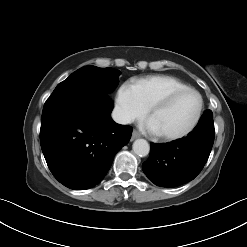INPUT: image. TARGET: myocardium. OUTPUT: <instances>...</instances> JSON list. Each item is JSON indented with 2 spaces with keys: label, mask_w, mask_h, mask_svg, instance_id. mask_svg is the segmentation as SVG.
Returning <instances> with one entry per match:
<instances>
[{
  "label": "myocardium",
  "mask_w": 247,
  "mask_h": 247,
  "mask_svg": "<svg viewBox=\"0 0 247 247\" xmlns=\"http://www.w3.org/2000/svg\"><path fill=\"white\" fill-rule=\"evenodd\" d=\"M189 92L196 94L199 98V107H198V110H197V113H196V116H195L193 122L190 124V126L188 128H186L184 131H182L178 134L163 135V134L156 133V135L159 139L166 141V142H172V141H177V140L183 139V138L189 136L199 125V123L202 119L205 103H204L203 95L197 89L192 88V87L173 90V91L165 94L164 96H162L160 99H158L156 102H154L149 107L148 117H151L155 112L168 107L172 103V101L176 97H178L179 95H182L184 93H189Z\"/></svg>",
  "instance_id": "obj_1"
}]
</instances>
